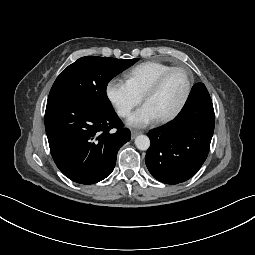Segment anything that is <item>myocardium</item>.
<instances>
[{"label": "myocardium", "mask_w": 255, "mask_h": 255, "mask_svg": "<svg viewBox=\"0 0 255 255\" xmlns=\"http://www.w3.org/2000/svg\"><path fill=\"white\" fill-rule=\"evenodd\" d=\"M175 71H182L185 73V75L187 77L186 91H185V94H184L181 102L179 103V105L176 107V109L174 111H172L168 115L159 117V120L161 122H168V121L173 120L180 114V112L185 107V105L190 97V94L192 91V85H193L192 76H191L190 72L185 67H181V66L172 67V68L168 69L167 71H165L164 73H162L144 94V100L147 102L148 98L150 96H152L153 94L157 93L163 86L166 79Z\"/></svg>", "instance_id": "obj_1"}]
</instances>
